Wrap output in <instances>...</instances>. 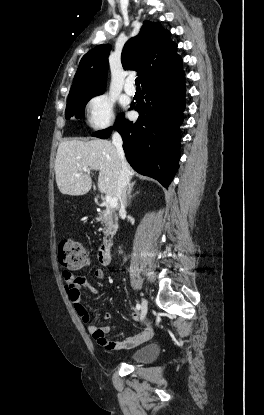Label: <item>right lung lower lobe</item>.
Listing matches in <instances>:
<instances>
[{
  "label": "right lung lower lobe",
  "instance_id": "obj_1",
  "mask_svg": "<svg viewBox=\"0 0 264 415\" xmlns=\"http://www.w3.org/2000/svg\"><path fill=\"white\" fill-rule=\"evenodd\" d=\"M136 122L120 114L114 124L123 139V149L130 165L138 173L158 180L168 187L178 169L180 158L179 127L185 108V73L142 86ZM133 106L130 108L132 109ZM112 127L97 131L94 137L106 139Z\"/></svg>",
  "mask_w": 264,
  "mask_h": 415
}]
</instances>
